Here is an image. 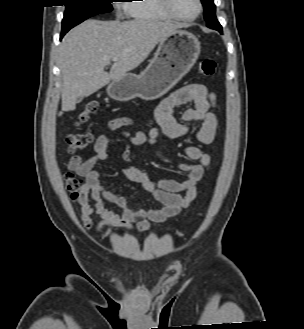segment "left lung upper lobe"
Instances as JSON below:
<instances>
[{"instance_id":"5c2ea615","label":"left lung upper lobe","mask_w":304,"mask_h":329,"mask_svg":"<svg viewBox=\"0 0 304 329\" xmlns=\"http://www.w3.org/2000/svg\"><path fill=\"white\" fill-rule=\"evenodd\" d=\"M204 6V18L207 24L211 23L213 17H215V4L213 0H201Z\"/></svg>"}]
</instances>
